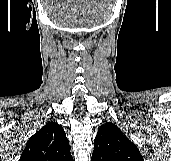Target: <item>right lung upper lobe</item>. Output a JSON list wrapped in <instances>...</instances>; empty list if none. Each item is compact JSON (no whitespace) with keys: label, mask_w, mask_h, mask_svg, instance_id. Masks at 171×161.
<instances>
[{"label":"right lung upper lobe","mask_w":171,"mask_h":161,"mask_svg":"<svg viewBox=\"0 0 171 161\" xmlns=\"http://www.w3.org/2000/svg\"><path fill=\"white\" fill-rule=\"evenodd\" d=\"M64 129L49 122L27 142L19 161H73Z\"/></svg>","instance_id":"cb5924a9"}]
</instances>
